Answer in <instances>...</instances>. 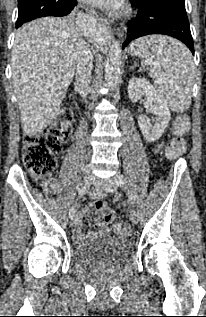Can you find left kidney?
<instances>
[{
    "label": "left kidney",
    "mask_w": 206,
    "mask_h": 317,
    "mask_svg": "<svg viewBox=\"0 0 206 317\" xmlns=\"http://www.w3.org/2000/svg\"><path fill=\"white\" fill-rule=\"evenodd\" d=\"M128 94L132 102H137L143 96L146 97L149 111L155 115V123L150 125L146 115H139L138 125L148 142L157 141L169 124L171 117L169 108L159 97L155 88L145 78L133 77L129 81Z\"/></svg>",
    "instance_id": "1"
}]
</instances>
